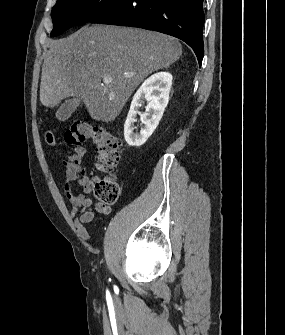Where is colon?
Here are the masks:
<instances>
[{
	"instance_id": "colon-1",
	"label": "colon",
	"mask_w": 285,
	"mask_h": 335,
	"mask_svg": "<svg viewBox=\"0 0 285 335\" xmlns=\"http://www.w3.org/2000/svg\"><path fill=\"white\" fill-rule=\"evenodd\" d=\"M45 142L55 146L56 139L50 129L42 130ZM65 141L73 147L69 162L79 164L84 154L83 144L91 141L98 154L97 168L107 175L94 179L92 190L97 200L105 205H113L120 195V185L113 170L120 160V143L116 136L100 125L85 121L74 122L65 132Z\"/></svg>"
}]
</instances>
